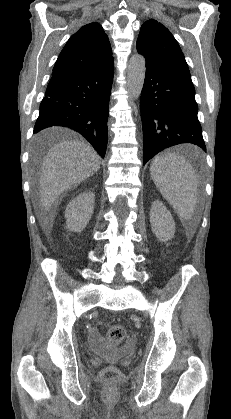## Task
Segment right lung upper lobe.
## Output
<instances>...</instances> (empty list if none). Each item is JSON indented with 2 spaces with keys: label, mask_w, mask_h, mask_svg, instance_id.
I'll use <instances>...</instances> for the list:
<instances>
[{
  "label": "right lung upper lobe",
  "mask_w": 231,
  "mask_h": 419,
  "mask_svg": "<svg viewBox=\"0 0 231 419\" xmlns=\"http://www.w3.org/2000/svg\"><path fill=\"white\" fill-rule=\"evenodd\" d=\"M113 62L108 36L100 24L92 22L70 37L52 74L94 71Z\"/></svg>",
  "instance_id": "right-lung-upper-lobe-1"
}]
</instances>
